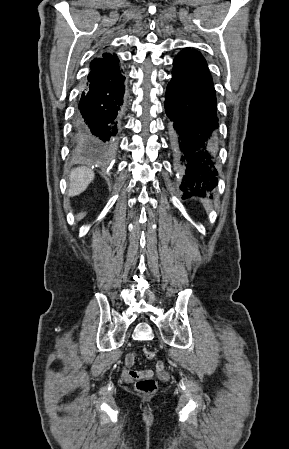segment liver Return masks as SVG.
I'll use <instances>...</instances> for the list:
<instances>
[{
	"label": "liver",
	"mask_w": 289,
	"mask_h": 449,
	"mask_svg": "<svg viewBox=\"0 0 289 449\" xmlns=\"http://www.w3.org/2000/svg\"><path fill=\"white\" fill-rule=\"evenodd\" d=\"M94 179V172L86 167H78L69 175V196H77L84 192Z\"/></svg>",
	"instance_id": "1"
}]
</instances>
